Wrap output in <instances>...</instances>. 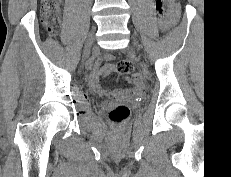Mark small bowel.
<instances>
[{
	"label": "small bowel",
	"instance_id": "c3829d8e",
	"mask_svg": "<svg viewBox=\"0 0 231 177\" xmlns=\"http://www.w3.org/2000/svg\"><path fill=\"white\" fill-rule=\"evenodd\" d=\"M172 22L171 20H166V17L164 19H162L161 21V25L164 29H168L171 26ZM113 55L111 54H106L105 55V59L108 61H111L113 59ZM117 71V66L114 64H106L103 67L100 66H96L90 76V84L92 86V88L102 94V95H112L115 92L112 89L109 88H104L100 85V79L102 78L103 75H105L106 73L109 72H115ZM134 82L137 84L138 83V79H134ZM141 87L139 85H137L136 90H140Z\"/></svg>",
	"mask_w": 231,
	"mask_h": 177
}]
</instances>
